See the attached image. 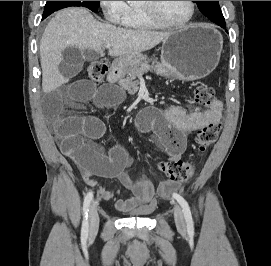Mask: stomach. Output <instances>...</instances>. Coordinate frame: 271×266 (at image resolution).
Segmentation results:
<instances>
[{
  "label": "stomach",
  "mask_w": 271,
  "mask_h": 266,
  "mask_svg": "<svg viewBox=\"0 0 271 266\" xmlns=\"http://www.w3.org/2000/svg\"><path fill=\"white\" fill-rule=\"evenodd\" d=\"M222 47V35L211 26L188 25L172 32L163 40L158 70L183 81L204 78L217 67ZM144 62H147V56L141 53L118 59V64L126 70H131Z\"/></svg>",
  "instance_id": "obj_1"
}]
</instances>
